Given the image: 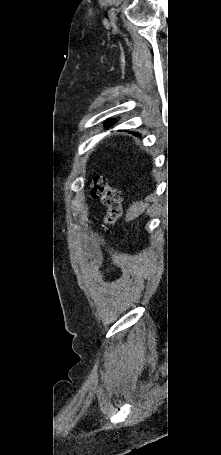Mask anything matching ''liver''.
<instances>
[{
  "mask_svg": "<svg viewBox=\"0 0 221 455\" xmlns=\"http://www.w3.org/2000/svg\"><path fill=\"white\" fill-rule=\"evenodd\" d=\"M147 207L143 202H134L126 212V221H131L138 217Z\"/></svg>",
  "mask_w": 221,
  "mask_h": 455,
  "instance_id": "liver-1",
  "label": "liver"
}]
</instances>
